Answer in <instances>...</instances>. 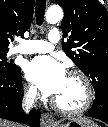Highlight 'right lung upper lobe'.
Returning a JSON list of instances; mask_svg holds the SVG:
<instances>
[{"label": "right lung upper lobe", "mask_w": 108, "mask_h": 127, "mask_svg": "<svg viewBox=\"0 0 108 127\" xmlns=\"http://www.w3.org/2000/svg\"><path fill=\"white\" fill-rule=\"evenodd\" d=\"M34 12V0H0V50H8L12 36H23Z\"/></svg>", "instance_id": "cb5924a9"}]
</instances>
